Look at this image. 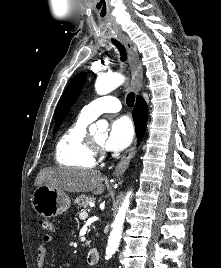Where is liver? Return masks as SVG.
<instances>
[{
	"label": "liver",
	"instance_id": "6515ba94",
	"mask_svg": "<svg viewBox=\"0 0 221 268\" xmlns=\"http://www.w3.org/2000/svg\"><path fill=\"white\" fill-rule=\"evenodd\" d=\"M104 177L97 170H82L65 167H47L38 173L35 186L48 185L54 189L73 193L92 191L95 195L104 192Z\"/></svg>",
	"mask_w": 221,
	"mask_h": 268
}]
</instances>
